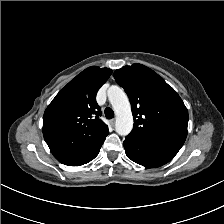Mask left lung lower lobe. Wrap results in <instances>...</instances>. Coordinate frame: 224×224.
I'll list each match as a JSON object with an SVG mask.
<instances>
[{
    "label": "left lung lower lobe",
    "instance_id": "obj_1",
    "mask_svg": "<svg viewBox=\"0 0 224 224\" xmlns=\"http://www.w3.org/2000/svg\"><path fill=\"white\" fill-rule=\"evenodd\" d=\"M124 147L129 159L148 168L162 166L169 162L180 150L179 147L129 134Z\"/></svg>",
    "mask_w": 224,
    "mask_h": 224
}]
</instances>
